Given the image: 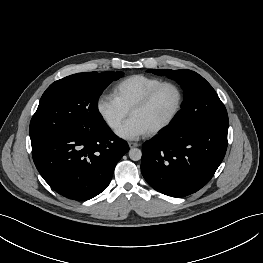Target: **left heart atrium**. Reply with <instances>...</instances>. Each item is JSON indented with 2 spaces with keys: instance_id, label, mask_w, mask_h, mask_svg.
I'll list each match as a JSON object with an SVG mask.
<instances>
[{
  "instance_id": "left-heart-atrium-1",
  "label": "left heart atrium",
  "mask_w": 263,
  "mask_h": 263,
  "mask_svg": "<svg viewBox=\"0 0 263 263\" xmlns=\"http://www.w3.org/2000/svg\"><path fill=\"white\" fill-rule=\"evenodd\" d=\"M149 131L147 128L135 117H130L125 121L116 131L117 135L121 138L134 140L143 135H146Z\"/></svg>"
}]
</instances>
